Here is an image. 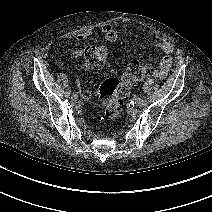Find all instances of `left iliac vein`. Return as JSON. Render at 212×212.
Returning a JSON list of instances; mask_svg holds the SVG:
<instances>
[{"label": "left iliac vein", "mask_w": 212, "mask_h": 212, "mask_svg": "<svg viewBox=\"0 0 212 212\" xmlns=\"http://www.w3.org/2000/svg\"><path fill=\"white\" fill-rule=\"evenodd\" d=\"M134 104L136 106H141V99L140 98H136L135 101H134Z\"/></svg>", "instance_id": "4c4485c4"}]
</instances>
